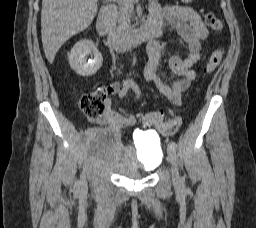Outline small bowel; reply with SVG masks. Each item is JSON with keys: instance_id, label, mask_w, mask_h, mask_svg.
I'll use <instances>...</instances> for the list:
<instances>
[{"instance_id": "c3829d8e", "label": "small bowel", "mask_w": 256, "mask_h": 228, "mask_svg": "<svg viewBox=\"0 0 256 228\" xmlns=\"http://www.w3.org/2000/svg\"><path fill=\"white\" fill-rule=\"evenodd\" d=\"M165 20L174 25L179 36L188 45L189 53L186 57L174 55L169 59L167 69L179 77L169 84L161 76L164 68L161 67L160 63L165 43L156 38L150 40L147 44L149 59L144 69V77L171 103L180 105L183 93L196 78V72L193 67L202 57V42L208 37L209 31L200 15L193 8L171 4L162 5L158 2H153L150 7L148 24L157 30L158 34L155 37L161 34ZM103 91L107 97L106 110L93 121L101 125H107L114 131L133 126L136 122L135 117L120 108L112 109L109 98L113 95L124 98L129 91L140 97L144 89L135 81L127 79L122 83L113 82ZM176 126V121H167L156 125V129L160 133L168 135Z\"/></svg>"}]
</instances>
